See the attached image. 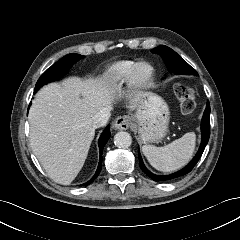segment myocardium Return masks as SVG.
<instances>
[{
	"label": "myocardium",
	"instance_id": "obj_1",
	"mask_svg": "<svg viewBox=\"0 0 240 240\" xmlns=\"http://www.w3.org/2000/svg\"><path fill=\"white\" fill-rule=\"evenodd\" d=\"M154 77V66L148 61H140L133 67L128 78V84L131 88L137 90L147 89L152 85Z\"/></svg>",
	"mask_w": 240,
	"mask_h": 240
}]
</instances>
